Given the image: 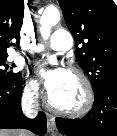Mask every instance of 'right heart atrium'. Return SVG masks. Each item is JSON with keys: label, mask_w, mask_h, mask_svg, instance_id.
<instances>
[{"label": "right heart atrium", "mask_w": 117, "mask_h": 136, "mask_svg": "<svg viewBox=\"0 0 117 136\" xmlns=\"http://www.w3.org/2000/svg\"><path fill=\"white\" fill-rule=\"evenodd\" d=\"M40 92L39 83L33 79L28 77L25 81L23 88V97L27 102H34L37 100Z\"/></svg>", "instance_id": "1"}]
</instances>
